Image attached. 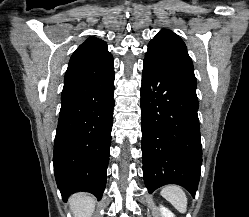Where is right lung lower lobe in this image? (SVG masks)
I'll list each match as a JSON object with an SVG mask.
<instances>
[{
    "instance_id": "1",
    "label": "right lung lower lobe",
    "mask_w": 249,
    "mask_h": 217,
    "mask_svg": "<svg viewBox=\"0 0 249 217\" xmlns=\"http://www.w3.org/2000/svg\"><path fill=\"white\" fill-rule=\"evenodd\" d=\"M114 60L71 64L64 78L54 142V172L63 199L86 191L101 198L111 145Z\"/></svg>"
}]
</instances>
